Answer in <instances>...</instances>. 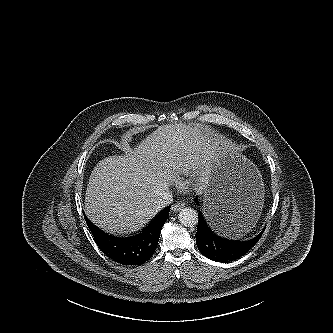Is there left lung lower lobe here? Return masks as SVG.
<instances>
[{
  "label": "left lung lower lobe",
  "instance_id": "obj_1",
  "mask_svg": "<svg viewBox=\"0 0 333 333\" xmlns=\"http://www.w3.org/2000/svg\"><path fill=\"white\" fill-rule=\"evenodd\" d=\"M195 202L199 205L198 199ZM198 227L195 234L199 251L207 258L217 262H231L245 255L261 238L264 229L247 241H236L216 235L206 223L201 212L198 214Z\"/></svg>",
  "mask_w": 333,
  "mask_h": 333
}]
</instances>
